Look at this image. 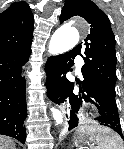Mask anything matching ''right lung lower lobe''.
<instances>
[{"mask_svg": "<svg viewBox=\"0 0 124 149\" xmlns=\"http://www.w3.org/2000/svg\"><path fill=\"white\" fill-rule=\"evenodd\" d=\"M31 45L0 51V134L25 143L27 116L25 78L22 67L28 61Z\"/></svg>", "mask_w": 124, "mask_h": 149, "instance_id": "1", "label": "right lung lower lobe"}]
</instances>
